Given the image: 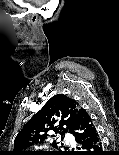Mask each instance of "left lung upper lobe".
Returning a JSON list of instances; mask_svg holds the SVG:
<instances>
[{
    "label": "left lung upper lobe",
    "instance_id": "1",
    "mask_svg": "<svg viewBox=\"0 0 119 155\" xmlns=\"http://www.w3.org/2000/svg\"><path fill=\"white\" fill-rule=\"evenodd\" d=\"M79 106L64 94L49 99L17 134L12 155H73L70 151H25L53 137L50 131L63 135L66 131L74 133ZM56 141L52 142L57 147Z\"/></svg>",
    "mask_w": 119,
    "mask_h": 155
}]
</instances>
